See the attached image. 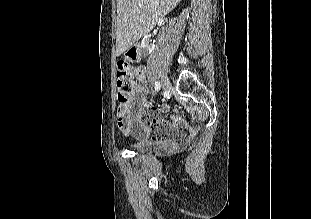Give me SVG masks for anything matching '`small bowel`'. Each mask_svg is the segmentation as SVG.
Masks as SVG:
<instances>
[{"label": "small bowel", "mask_w": 311, "mask_h": 219, "mask_svg": "<svg viewBox=\"0 0 311 219\" xmlns=\"http://www.w3.org/2000/svg\"><path fill=\"white\" fill-rule=\"evenodd\" d=\"M145 72V69L142 67L135 70V86L130 100L127 104L117 107L116 116L119 130L123 134L134 136L138 140L151 139L152 135L161 137L167 133L172 142H186L189 136H182L172 131L166 132L162 127L160 115L168 109V105L164 104L160 109L151 107L150 112L145 113V110L149 107L146 98L149 90L143 83ZM172 124L180 126L182 119L173 116Z\"/></svg>", "instance_id": "small-bowel-1"}]
</instances>
